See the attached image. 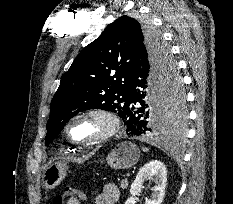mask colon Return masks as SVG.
I'll return each mask as SVG.
<instances>
[{
    "label": "colon",
    "mask_w": 233,
    "mask_h": 204,
    "mask_svg": "<svg viewBox=\"0 0 233 204\" xmlns=\"http://www.w3.org/2000/svg\"><path fill=\"white\" fill-rule=\"evenodd\" d=\"M82 194L75 188L67 186L64 193L58 194L53 199V204H80Z\"/></svg>",
    "instance_id": "5ec220e1"
}]
</instances>
